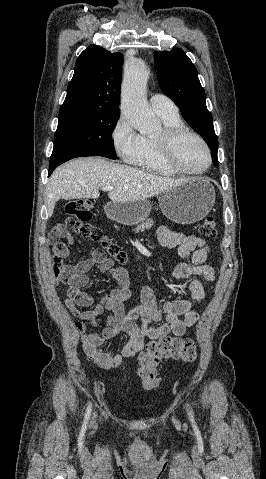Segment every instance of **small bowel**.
Returning <instances> with one entry per match:
<instances>
[{"instance_id": "c3829d8e", "label": "small bowel", "mask_w": 266, "mask_h": 479, "mask_svg": "<svg viewBox=\"0 0 266 479\" xmlns=\"http://www.w3.org/2000/svg\"><path fill=\"white\" fill-rule=\"evenodd\" d=\"M68 243L75 242V237L65 232L61 235ZM159 243L167 248H178L182 258L190 262L178 263L173 276L179 280L191 277H203L213 281L215 272L206 264L209 247L205 240L195 235H185L162 226L158 229ZM62 257H55V271L59 282L68 286L65 304L69 312L77 319L75 325L79 331L82 349L87 358L97 366L110 369L118 367L124 359L132 358L141 352L146 340H159L170 334L182 336L186 330L199 320V314L194 306L205 296L204 286L198 279H192L187 287L189 298L175 301L157 300L153 289L145 285L140 292L141 305L125 312L123 302L129 298V277L121 267H115L113 261L107 258L101 250H95L90 257L77 265L63 263ZM98 265L100 271L109 275L118 285L104 294L92 306L93 300L82 289L88 285L87 272ZM92 308L80 310L81 307ZM105 311L109 312L106 325L100 332L98 317ZM141 321V325L137 321ZM157 323L150 325V323ZM124 332L129 340L120 352L111 347L104 350L103 344L114 339L118 333Z\"/></svg>"}]
</instances>
